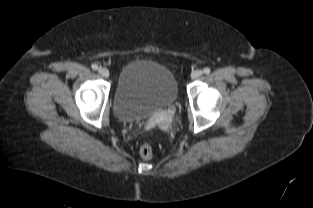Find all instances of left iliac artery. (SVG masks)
<instances>
[{
	"label": "left iliac artery",
	"instance_id": "obj_1",
	"mask_svg": "<svg viewBox=\"0 0 313 208\" xmlns=\"http://www.w3.org/2000/svg\"><path fill=\"white\" fill-rule=\"evenodd\" d=\"M211 72L210 68L209 67H205L204 68V73L205 74H209Z\"/></svg>",
	"mask_w": 313,
	"mask_h": 208
}]
</instances>
